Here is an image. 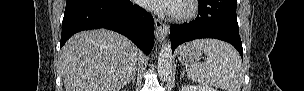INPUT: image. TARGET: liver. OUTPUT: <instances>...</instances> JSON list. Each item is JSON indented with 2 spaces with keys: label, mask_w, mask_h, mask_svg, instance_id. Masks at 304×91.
Instances as JSON below:
<instances>
[{
  "label": "liver",
  "mask_w": 304,
  "mask_h": 91,
  "mask_svg": "<svg viewBox=\"0 0 304 91\" xmlns=\"http://www.w3.org/2000/svg\"><path fill=\"white\" fill-rule=\"evenodd\" d=\"M136 46L116 32L97 29L72 36L60 64L66 91H120L137 69Z\"/></svg>",
  "instance_id": "liver-1"
}]
</instances>
